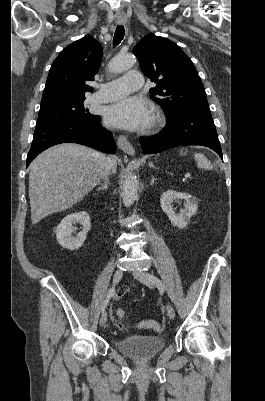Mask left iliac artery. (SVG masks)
Here are the masks:
<instances>
[{
    "instance_id": "44dca946",
    "label": "left iliac artery",
    "mask_w": 265,
    "mask_h": 401,
    "mask_svg": "<svg viewBox=\"0 0 265 401\" xmlns=\"http://www.w3.org/2000/svg\"><path fill=\"white\" fill-rule=\"evenodd\" d=\"M152 282H153L154 284H156V286L158 287V289L164 290V286H163L161 280H160L158 277H156V276L153 275Z\"/></svg>"
}]
</instances>
